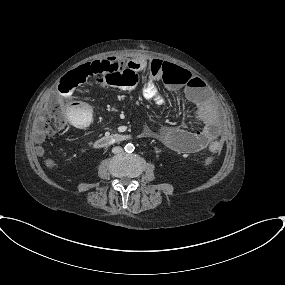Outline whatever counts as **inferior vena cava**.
I'll return each mask as SVG.
<instances>
[{
  "label": "inferior vena cava",
  "instance_id": "inferior-vena-cava-1",
  "mask_svg": "<svg viewBox=\"0 0 285 285\" xmlns=\"http://www.w3.org/2000/svg\"><path fill=\"white\" fill-rule=\"evenodd\" d=\"M122 147H120V146H117V147H114L113 149H112V152L114 153V154H118V153H120V152H122Z\"/></svg>",
  "mask_w": 285,
  "mask_h": 285
}]
</instances>
